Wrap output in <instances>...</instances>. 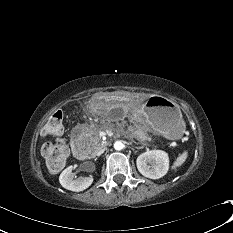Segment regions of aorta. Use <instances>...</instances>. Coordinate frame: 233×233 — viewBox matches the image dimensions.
Masks as SVG:
<instances>
[{
  "label": "aorta",
  "mask_w": 233,
  "mask_h": 233,
  "mask_svg": "<svg viewBox=\"0 0 233 233\" xmlns=\"http://www.w3.org/2000/svg\"><path fill=\"white\" fill-rule=\"evenodd\" d=\"M124 148V144L122 143V141H116L114 143V149L117 151H120Z\"/></svg>",
  "instance_id": "1"
}]
</instances>
